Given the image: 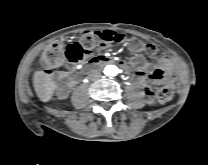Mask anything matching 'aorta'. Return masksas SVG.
<instances>
[{"instance_id":"762f6f07","label":"aorta","mask_w":208,"mask_h":165,"mask_svg":"<svg viewBox=\"0 0 208 165\" xmlns=\"http://www.w3.org/2000/svg\"><path fill=\"white\" fill-rule=\"evenodd\" d=\"M104 72L107 76H116L118 74V68L115 65H108Z\"/></svg>"}]
</instances>
